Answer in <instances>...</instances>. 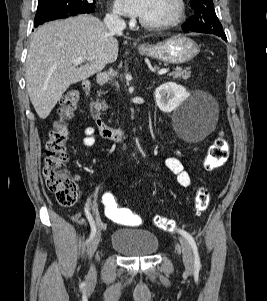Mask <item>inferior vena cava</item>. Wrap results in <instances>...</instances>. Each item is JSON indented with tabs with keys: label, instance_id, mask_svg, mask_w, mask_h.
<instances>
[{
	"label": "inferior vena cava",
	"instance_id": "obj_1",
	"mask_svg": "<svg viewBox=\"0 0 267 301\" xmlns=\"http://www.w3.org/2000/svg\"><path fill=\"white\" fill-rule=\"evenodd\" d=\"M108 31L112 34H121L125 29V22L117 15H107L104 19Z\"/></svg>",
	"mask_w": 267,
	"mask_h": 301
}]
</instances>
